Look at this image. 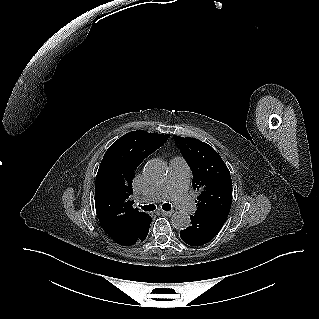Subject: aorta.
Here are the masks:
<instances>
[{
  "instance_id": "obj_1",
  "label": "aorta",
  "mask_w": 319,
  "mask_h": 319,
  "mask_svg": "<svg viewBox=\"0 0 319 319\" xmlns=\"http://www.w3.org/2000/svg\"><path fill=\"white\" fill-rule=\"evenodd\" d=\"M166 164L159 159H153L146 163L144 175L151 182H159L167 175ZM172 226L176 229H186L190 225V217L186 212H175L171 217Z\"/></svg>"
}]
</instances>
